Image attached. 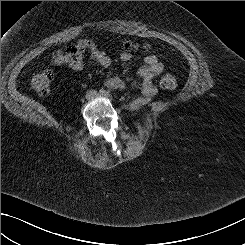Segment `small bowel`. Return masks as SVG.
I'll return each instance as SVG.
<instances>
[{
  "instance_id": "small-bowel-1",
  "label": "small bowel",
  "mask_w": 245,
  "mask_h": 245,
  "mask_svg": "<svg viewBox=\"0 0 245 245\" xmlns=\"http://www.w3.org/2000/svg\"><path fill=\"white\" fill-rule=\"evenodd\" d=\"M73 48V53H66L60 51V54L53 56L52 64L67 65L74 71H81L87 64H95L101 67H109L113 60L109 54L98 47L90 40H80ZM85 53H88V58L85 59ZM131 52L124 51L119 57L118 61L125 63L132 59ZM164 66L159 59L154 55H148L144 58V65L138 69V76L140 77L139 88L142 94L146 97H153L157 94L158 89L153 80L163 72ZM106 86L111 89L124 90L127 85L123 79L114 76L106 80Z\"/></svg>"
}]
</instances>
